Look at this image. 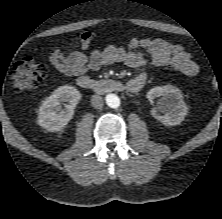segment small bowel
<instances>
[{"instance_id":"small-bowel-1","label":"small bowel","mask_w":222,"mask_h":219,"mask_svg":"<svg viewBox=\"0 0 222 219\" xmlns=\"http://www.w3.org/2000/svg\"><path fill=\"white\" fill-rule=\"evenodd\" d=\"M95 40L92 32L83 33L79 41L69 49L56 47L52 50L49 61L61 74L79 77L90 71L114 63H123L134 69L148 65L168 66L187 76L197 75L198 65L181 46L161 38H137L128 41L127 46L108 45L102 50H95L89 56L87 50ZM131 81L146 82L144 74H138Z\"/></svg>"}]
</instances>
